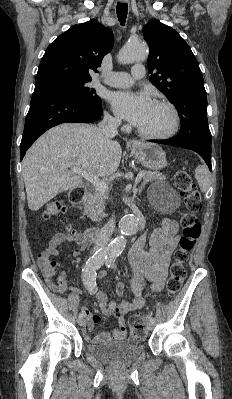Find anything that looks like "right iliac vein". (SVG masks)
Wrapping results in <instances>:
<instances>
[{
	"label": "right iliac vein",
	"instance_id": "obj_1",
	"mask_svg": "<svg viewBox=\"0 0 232 399\" xmlns=\"http://www.w3.org/2000/svg\"><path fill=\"white\" fill-rule=\"evenodd\" d=\"M77 322H78L79 326H83L84 325V319L83 318H78Z\"/></svg>",
	"mask_w": 232,
	"mask_h": 399
}]
</instances>
